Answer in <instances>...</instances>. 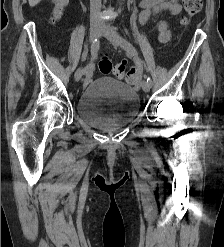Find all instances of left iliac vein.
Listing matches in <instances>:
<instances>
[{
  "instance_id": "left-iliac-vein-1",
  "label": "left iliac vein",
  "mask_w": 224,
  "mask_h": 247,
  "mask_svg": "<svg viewBox=\"0 0 224 247\" xmlns=\"http://www.w3.org/2000/svg\"><path fill=\"white\" fill-rule=\"evenodd\" d=\"M101 32L113 45L122 47V38L116 30L104 24ZM141 86L145 92H149L151 89V85L145 80L142 81Z\"/></svg>"
}]
</instances>
